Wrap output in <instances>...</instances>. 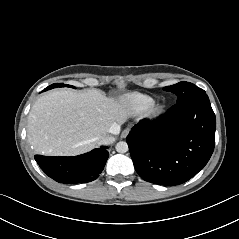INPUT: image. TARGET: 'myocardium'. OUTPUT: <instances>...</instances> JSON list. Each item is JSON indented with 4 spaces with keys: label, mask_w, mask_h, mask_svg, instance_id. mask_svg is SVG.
<instances>
[{
    "label": "myocardium",
    "mask_w": 239,
    "mask_h": 239,
    "mask_svg": "<svg viewBox=\"0 0 239 239\" xmlns=\"http://www.w3.org/2000/svg\"><path fill=\"white\" fill-rule=\"evenodd\" d=\"M147 110L151 115H158L164 110V106L161 103L153 102Z\"/></svg>",
    "instance_id": "myocardium-1"
}]
</instances>
